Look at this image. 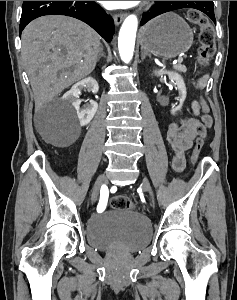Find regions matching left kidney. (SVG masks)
<instances>
[{"instance_id":"5707ae66","label":"left kidney","mask_w":237,"mask_h":300,"mask_svg":"<svg viewBox=\"0 0 237 300\" xmlns=\"http://www.w3.org/2000/svg\"><path fill=\"white\" fill-rule=\"evenodd\" d=\"M156 77H160V75H168L169 79L171 81H175V85H177L178 89V95H179V103L178 107L176 109H172L171 115H177V111H181L182 105L186 99L187 91L185 87V83L179 75V73H174V71H163V69H160V71H154Z\"/></svg>"}]
</instances>
